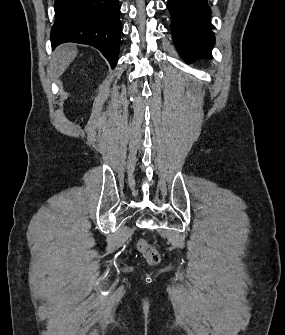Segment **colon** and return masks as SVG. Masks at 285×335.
Listing matches in <instances>:
<instances>
[{"mask_svg":"<svg viewBox=\"0 0 285 335\" xmlns=\"http://www.w3.org/2000/svg\"><path fill=\"white\" fill-rule=\"evenodd\" d=\"M137 249L149 264L156 265L160 262V252L154 245L150 244L145 239H139L137 241Z\"/></svg>","mask_w":285,"mask_h":335,"instance_id":"1","label":"colon"}]
</instances>
